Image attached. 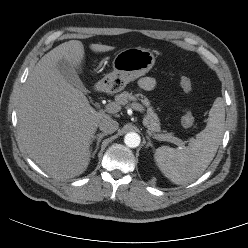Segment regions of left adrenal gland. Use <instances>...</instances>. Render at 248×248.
<instances>
[{"label": "left adrenal gland", "instance_id": "obj_1", "mask_svg": "<svg viewBox=\"0 0 248 248\" xmlns=\"http://www.w3.org/2000/svg\"><path fill=\"white\" fill-rule=\"evenodd\" d=\"M146 138H147V140H148V143L146 144V148H147V147H153V144L151 143L150 137L147 136Z\"/></svg>", "mask_w": 248, "mask_h": 248}]
</instances>
